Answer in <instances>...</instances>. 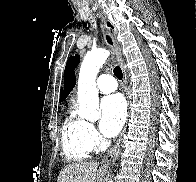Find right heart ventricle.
Listing matches in <instances>:
<instances>
[{"instance_id": "obj_1", "label": "right heart ventricle", "mask_w": 196, "mask_h": 182, "mask_svg": "<svg viewBox=\"0 0 196 182\" xmlns=\"http://www.w3.org/2000/svg\"><path fill=\"white\" fill-rule=\"evenodd\" d=\"M86 124L83 119L70 112L61 127L62 147L65 156L74 162L87 159L92 151L87 137Z\"/></svg>"}]
</instances>
